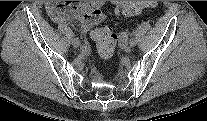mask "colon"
Segmentation results:
<instances>
[{
  "instance_id": "obj_1",
  "label": "colon",
  "mask_w": 207,
  "mask_h": 121,
  "mask_svg": "<svg viewBox=\"0 0 207 121\" xmlns=\"http://www.w3.org/2000/svg\"><path fill=\"white\" fill-rule=\"evenodd\" d=\"M155 1H126L118 5V12L124 15H135L144 8L153 7ZM91 38L95 42L99 55L104 58H110L115 50L117 35L108 26L94 28L91 31Z\"/></svg>"
}]
</instances>
